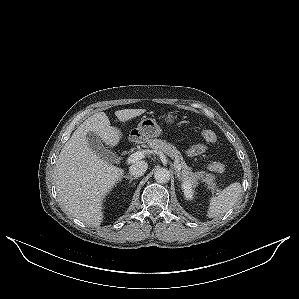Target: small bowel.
I'll return each mask as SVG.
<instances>
[{
  "label": "small bowel",
  "mask_w": 299,
  "mask_h": 299,
  "mask_svg": "<svg viewBox=\"0 0 299 299\" xmlns=\"http://www.w3.org/2000/svg\"><path fill=\"white\" fill-rule=\"evenodd\" d=\"M206 150H207V146L205 144L199 143L191 146L187 150V154L188 156L193 157L205 153Z\"/></svg>",
  "instance_id": "obj_1"
}]
</instances>
